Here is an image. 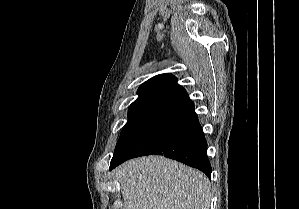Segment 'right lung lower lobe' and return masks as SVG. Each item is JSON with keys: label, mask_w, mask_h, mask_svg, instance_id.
<instances>
[{"label": "right lung lower lobe", "mask_w": 299, "mask_h": 209, "mask_svg": "<svg viewBox=\"0 0 299 209\" xmlns=\"http://www.w3.org/2000/svg\"><path fill=\"white\" fill-rule=\"evenodd\" d=\"M151 154L164 155L211 176L207 142L194 104L183 88L158 105L112 159L109 170L128 159Z\"/></svg>", "instance_id": "right-lung-lower-lobe-1"}]
</instances>
